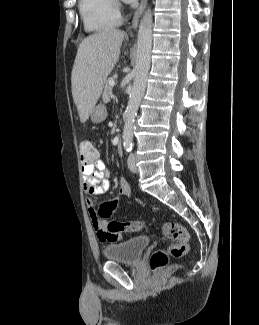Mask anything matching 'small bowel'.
I'll return each mask as SVG.
<instances>
[{
  "mask_svg": "<svg viewBox=\"0 0 259 325\" xmlns=\"http://www.w3.org/2000/svg\"><path fill=\"white\" fill-rule=\"evenodd\" d=\"M81 171L83 176V189L86 195L101 196L109 190L110 172L103 160L100 158L98 151L92 162H81ZM119 194L124 197H129L131 195V187L128 181L124 178H121L119 181ZM87 204L89 206V215L98 239L101 242L119 241L122 238V232H108L106 219L100 218L97 215L90 198L87 199Z\"/></svg>",
  "mask_w": 259,
  "mask_h": 325,
  "instance_id": "small-bowel-1",
  "label": "small bowel"
}]
</instances>
